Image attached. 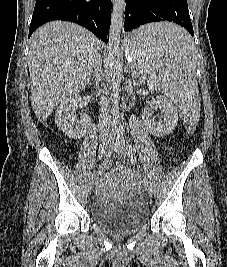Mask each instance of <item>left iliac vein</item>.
Returning a JSON list of instances; mask_svg holds the SVG:
<instances>
[{
    "label": "left iliac vein",
    "instance_id": "obj_1",
    "mask_svg": "<svg viewBox=\"0 0 227 267\" xmlns=\"http://www.w3.org/2000/svg\"><path fill=\"white\" fill-rule=\"evenodd\" d=\"M111 147L114 148L118 154H120L123 157L129 158L133 163L137 164V158L134 154V148L131 144H129L124 139H118L111 142ZM144 188L147 191V193L152 196L153 194V186L149 179L144 177L143 179Z\"/></svg>",
    "mask_w": 227,
    "mask_h": 267
}]
</instances>
